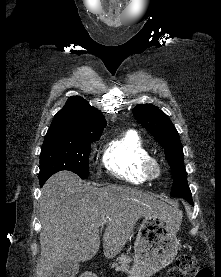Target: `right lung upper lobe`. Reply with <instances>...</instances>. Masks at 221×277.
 Here are the masks:
<instances>
[{"instance_id": "right-lung-upper-lobe-1", "label": "right lung upper lobe", "mask_w": 221, "mask_h": 277, "mask_svg": "<svg viewBox=\"0 0 221 277\" xmlns=\"http://www.w3.org/2000/svg\"><path fill=\"white\" fill-rule=\"evenodd\" d=\"M107 122L85 99L73 96L53 118L48 133L85 134L102 132Z\"/></svg>"}]
</instances>
